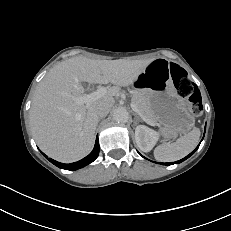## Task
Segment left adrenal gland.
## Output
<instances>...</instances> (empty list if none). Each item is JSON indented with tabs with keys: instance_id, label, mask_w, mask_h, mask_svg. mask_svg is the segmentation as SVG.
<instances>
[{
	"instance_id": "obj_1",
	"label": "left adrenal gland",
	"mask_w": 231,
	"mask_h": 231,
	"mask_svg": "<svg viewBox=\"0 0 231 231\" xmlns=\"http://www.w3.org/2000/svg\"><path fill=\"white\" fill-rule=\"evenodd\" d=\"M139 121L142 122L141 118L139 116L135 115V123L139 122Z\"/></svg>"
}]
</instances>
